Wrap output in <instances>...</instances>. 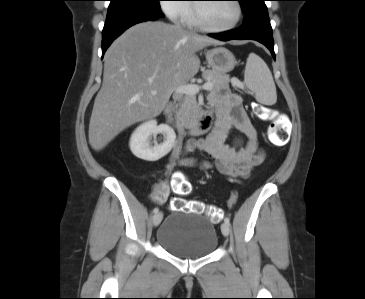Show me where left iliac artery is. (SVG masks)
Returning <instances> with one entry per match:
<instances>
[{
    "mask_svg": "<svg viewBox=\"0 0 365 299\" xmlns=\"http://www.w3.org/2000/svg\"><path fill=\"white\" fill-rule=\"evenodd\" d=\"M224 222H225V223H227V224H230V220H229V218H225V219H224Z\"/></svg>",
    "mask_w": 365,
    "mask_h": 299,
    "instance_id": "44dca946",
    "label": "left iliac artery"
}]
</instances>
